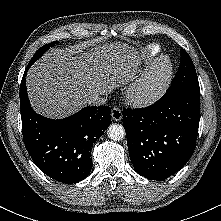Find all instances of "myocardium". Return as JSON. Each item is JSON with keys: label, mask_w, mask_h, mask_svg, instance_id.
<instances>
[{"label": "myocardium", "mask_w": 221, "mask_h": 221, "mask_svg": "<svg viewBox=\"0 0 221 221\" xmlns=\"http://www.w3.org/2000/svg\"><path fill=\"white\" fill-rule=\"evenodd\" d=\"M174 65L167 55H160L128 88V100L139 107L157 102L167 91L172 77ZM159 77V79H157Z\"/></svg>", "instance_id": "1"}]
</instances>
